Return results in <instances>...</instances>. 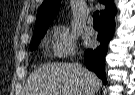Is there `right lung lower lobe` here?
Wrapping results in <instances>:
<instances>
[{"instance_id": "obj_1", "label": "right lung lower lobe", "mask_w": 135, "mask_h": 95, "mask_svg": "<svg viewBox=\"0 0 135 95\" xmlns=\"http://www.w3.org/2000/svg\"><path fill=\"white\" fill-rule=\"evenodd\" d=\"M115 30L114 17L104 18L101 20V29L97 40L100 41V46L95 50L88 49L85 51V65L90 70L106 83V75L104 71V59L107 54L108 44L113 37Z\"/></svg>"}]
</instances>
